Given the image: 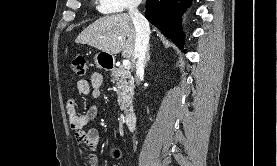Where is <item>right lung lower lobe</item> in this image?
<instances>
[{
    "instance_id": "98d812e1",
    "label": "right lung lower lobe",
    "mask_w": 277,
    "mask_h": 166,
    "mask_svg": "<svg viewBox=\"0 0 277 166\" xmlns=\"http://www.w3.org/2000/svg\"><path fill=\"white\" fill-rule=\"evenodd\" d=\"M191 0H147L145 17L180 48L184 45V34L179 24Z\"/></svg>"
}]
</instances>
